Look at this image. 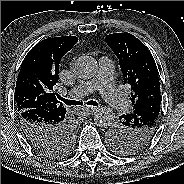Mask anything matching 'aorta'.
<instances>
[{
	"label": "aorta",
	"mask_w": 184,
	"mask_h": 184,
	"mask_svg": "<svg viewBox=\"0 0 184 184\" xmlns=\"http://www.w3.org/2000/svg\"><path fill=\"white\" fill-rule=\"evenodd\" d=\"M97 70V61L91 56H80L74 65V73L83 80L91 79ZM114 119L115 113L110 107H99L94 113V122L100 128L111 126Z\"/></svg>",
	"instance_id": "aorta-1"
}]
</instances>
